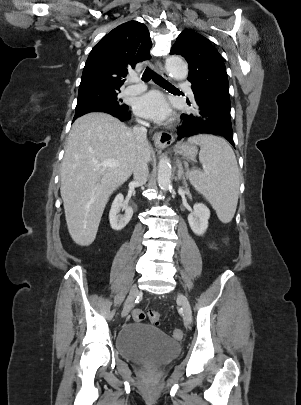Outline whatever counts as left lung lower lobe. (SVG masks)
<instances>
[{
	"mask_svg": "<svg viewBox=\"0 0 301 405\" xmlns=\"http://www.w3.org/2000/svg\"><path fill=\"white\" fill-rule=\"evenodd\" d=\"M193 93L197 111L181 115L183 123L178 128L177 140L200 134H212L224 137L234 146L230 105L210 99L194 90Z\"/></svg>",
	"mask_w": 301,
	"mask_h": 405,
	"instance_id": "1",
	"label": "left lung lower lobe"
}]
</instances>
